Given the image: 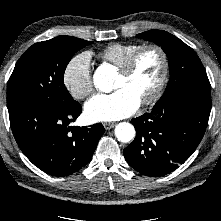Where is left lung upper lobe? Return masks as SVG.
<instances>
[{
	"instance_id": "1",
	"label": "left lung upper lobe",
	"mask_w": 221,
	"mask_h": 221,
	"mask_svg": "<svg viewBox=\"0 0 221 221\" xmlns=\"http://www.w3.org/2000/svg\"><path fill=\"white\" fill-rule=\"evenodd\" d=\"M136 37L161 46L169 59L170 80L163 95L190 86L211 89L202 62L183 41L163 30L146 31Z\"/></svg>"
}]
</instances>
